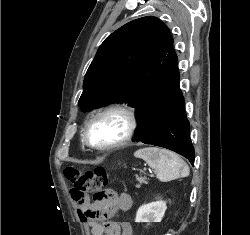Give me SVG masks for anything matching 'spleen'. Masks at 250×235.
Masks as SVG:
<instances>
[{
	"instance_id": "3e777b00",
	"label": "spleen",
	"mask_w": 250,
	"mask_h": 235,
	"mask_svg": "<svg viewBox=\"0 0 250 235\" xmlns=\"http://www.w3.org/2000/svg\"><path fill=\"white\" fill-rule=\"evenodd\" d=\"M134 156L145 160L162 182L187 177L190 173L186 162L169 150L147 147L136 151Z\"/></svg>"
}]
</instances>
